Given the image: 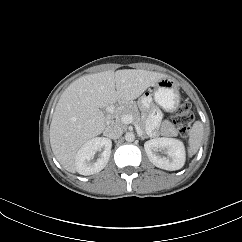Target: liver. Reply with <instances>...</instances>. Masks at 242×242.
Segmentation results:
<instances>
[{
  "instance_id": "1",
  "label": "liver",
  "mask_w": 242,
  "mask_h": 242,
  "mask_svg": "<svg viewBox=\"0 0 242 242\" xmlns=\"http://www.w3.org/2000/svg\"><path fill=\"white\" fill-rule=\"evenodd\" d=\"M167 77L157 72L124 69L86 75L72 82L62 93L50 125V144L58 162L75 173L78 150L106 127L101 109L120 100L130 103Z\"/></svg>"
}]
</instances>
